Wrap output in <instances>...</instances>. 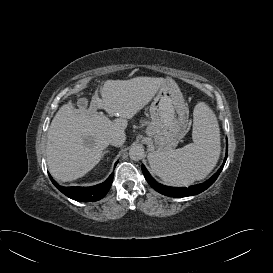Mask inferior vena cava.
Instances as JSON below:
<instances>
[{"label":"inferior vena cava","mask_w":273,"mask_h":273,"mask_svg":"<svg viewBox=\"0 0 273 273\" xmlns=\"http://www.w3.org/2000/svg\"><path fill=\"white\" fill-rule=\"evenodd\" d=\"M125 133L122 130H115L108 136V143L113 146H121L125 142Z\"/></svg>","instance_id":"obj_1"}]
</instances>
